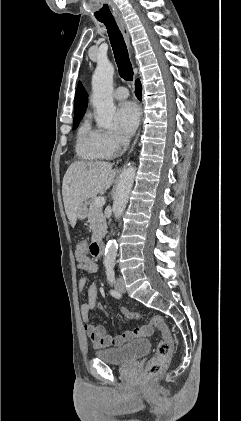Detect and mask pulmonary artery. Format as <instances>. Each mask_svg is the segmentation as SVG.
<instances>
[{"label": "pulmonary artery", "instance_id": "obj_1", "mask_svg": "<svg viewBox=\"0 0 241 421\" xmlns=\"http://www.w3.org/2000/svg\"><path fill=\"white\" fill-rule=\"evenodd\" d=\"M113 96L118 100H124L129 96V92L125 87L121 86L114 91Z\"/></svg>", "mask_w": 241, "mask_h": 421}]
</instances>
